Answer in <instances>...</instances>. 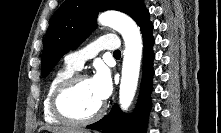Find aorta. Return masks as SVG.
Instances as JSON below:
<instances>
[{
	"mask_svg": "<svg viewBox=\"0 0 221 133\" xmlns=\"http://www.w3.org/2000/svg\"><path fill=\"white\" fill-rule=\"evenodd\" d=\"M98 22L117 30L125 42L119 102L123 111L130 107L136 93L142 58V38L136 23L127 15L107 11L99 15Z\"/></svg>",
	"mask_w": 221,
	"mask_h": 133,
	"instance_id": "obj_1",
	"label": "aorta"
}]
</instances>
